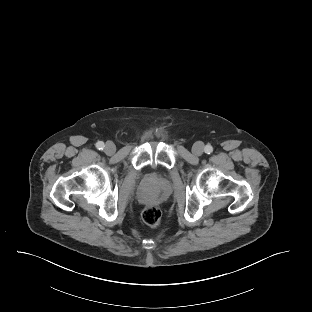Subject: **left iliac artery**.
Listing matches in <instances>:
<instances>
[{
    "label": "left iliac artery",
    "instance_id": "1",
    "mask_svg": "<svg viewBox=\"0 0 312 312\" xmlns=\"http://www.w3.org/2000/svg\"><path fill=\"white\" fill-rule=\"evenodd\" d=\"M213 152V147L211 145L205 146V153L210 154Z\"/></svg>",
    "mask_w": 312,
    "mask_h": 312
}]
</instances>
